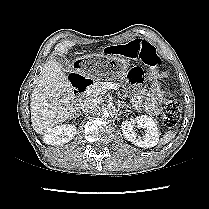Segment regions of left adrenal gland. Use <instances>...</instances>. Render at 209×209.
Wrapping results in <instances>:
<instances>
[{
	"mask_svg": "<svg viewBox=\"0 0 209 209\" xmlns=\"http://www.w3.org/2000/svg\"><path fill=\"white\" fill-rule=\"evenodd\" d=\"M121 105L124 106V105H126V104H123V102H121ZM126 107H128V106L126 105Z\"/></svg>",
	"mask_w": 209,
	"mask_h": 209,
	"instance_id": "1",
	"label": "left adrenal gland"
}]
</instances>
